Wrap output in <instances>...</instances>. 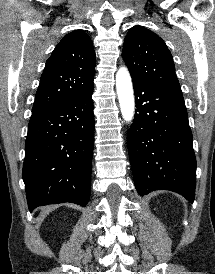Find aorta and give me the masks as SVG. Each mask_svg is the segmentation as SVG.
I'll list each match as a JSON object with an SVG mask.
<instances>
[{
	"instance_id": "obj_1",
	"label": "aorta",
	"mask_w": 215,
	"mask_h": 274,
	"mask_svg": "<svg viewBox=\"0 0 215 274\" xmlns=\"http://www.w3.org/2000/svg\"><path fill=\"white\" fill-rule=\"evenodd\" d=\"M116 90L123 119L130 122L134 116V94L130 74L121 67L116 74Z\"/></svg>"
}]
</instances>
